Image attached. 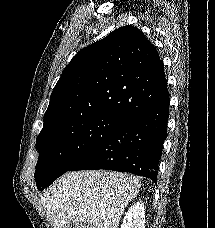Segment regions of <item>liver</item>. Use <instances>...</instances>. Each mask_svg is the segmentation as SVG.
Returning <instances> with one entry per match:
<instances>
[{
    "label": "liver",
    "instance_id": "1",
    "mask_svg": "<svg viewBox=\"0 0 215 228\" xmlns=\"http://www.w3.org/2000/svg\"><path fill=\"white\" fill-rule=\"evenodd\" d=\"M141 186L127 172H67L42 194L41 204L54 228H118Z\"/></svg>",
    "mask_w": 215,
    "mask_h": 228
}]
</instances>
